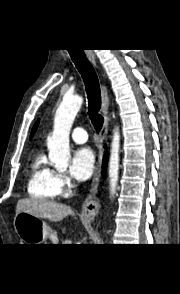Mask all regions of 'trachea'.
I'll list each match as a JSON object with an SVG mask.
<instances>
[{"label": "trachea", "instance_id": "trachea-1", "mask_svg": "<svg viewBox=\"0 0 180 294\" xmlns=\"http://www.w3.org/2000/svg\"><path fill=\"white\" fill-rule=\"evenodd\" d=\"M68 52L85 83L88 98V114L95 130L99 132L103 126L104 118L99 113L101 93L97 75L83 50L73 49L68 50Z\"/></svg>", "mask_w": 180, "mask_h": 294}]
</instances>
